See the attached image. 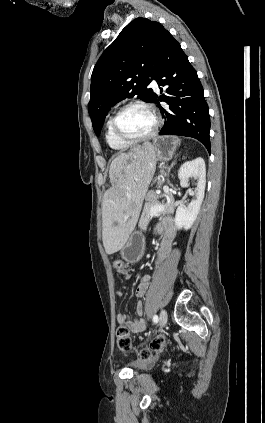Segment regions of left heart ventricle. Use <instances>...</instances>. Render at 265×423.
I'll return each mask as SVG.
<instances>
[{"label": "left heart ventricle", "instance_id": "left-heart-ventricle-1", "mask_svg": "<svg viewBox=\"0 0 265 423\" xmlns=\"http://www.w3.org/2000/svg\"><path fill=\"white\" fill-rule=\"evenodd\" d=\"M154 125L152 116L142 108H130L119 119V128L129 137H141L151 131Z\"/></svg>", "mask_w": 265, "mask_h": 423}]
</instances>
